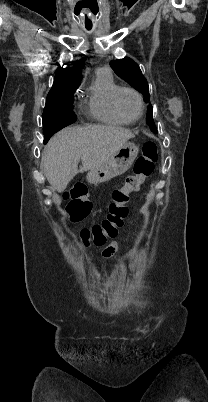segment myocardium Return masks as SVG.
<instances>
[{
	"label": "myocardium",
	"mask_w": 208,
	"mask_h": 402,
	"mask_svg": "<svg viewBox=\"0 0 208 402\" xmlns=\"http://www.w3.org/2000/svg\"><path fill=\"white\" fill-rule=\"evenodd\" d=\"M123 92H130V93L134 94L137 97V99L139 101V104H140V112H139V115L137 117H135V118L128 117L121 111V109L119 107L118 100H119L120 94L123 93ZM112 107H113V110H114L115 114L121 120L126 121L128 123H134V122H137L143 116V113H144V99H143L142 95L137 90H135L133 88L119 87L117 89V91L113 95Z\"/></svg>",
	"instance_id": "1"
}]
</instances>
